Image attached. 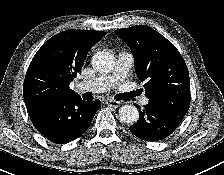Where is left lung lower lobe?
Returning <instances> with one entry per match:
<instances>
[{
	"label": "left lung lower lobe",
	"instance_id": "left-lung-lower-lobe-1",
	"mask_svg": "<svg viewBox=\"0 0 224 175\" xmlns=\"http://www.w3.org/2000/svg\"><path fill=\"white\" fill-rule=\"evenodd\" d=\"M144 107L140 111L138 122L130 127V132L145 141H159L168 137L179 126L189 104L149 100Z\"/></svg>",
	"mask_w": 224,
	"mask_h": 175
}]
</instances>
